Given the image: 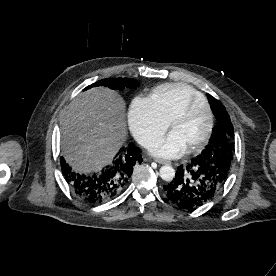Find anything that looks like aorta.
Returning <instances> with one entry per match:
<instances>
[{
	"mask_svg": "<svg viewBox=\"0 0 276 276\" xmlns=\"http://www.w3.org/2000/svg\"><path fill=\"white\" fill-rule=\"evenodd\" d=\"M160 177L164 181H172L175 177V170L172 166L164 165L160 168Z\"/></svg>",
	"mask_w": 276,
	"mask_h": 276,
	"instance_id": "aorta-1",
	"label": "aorta"
}]
</instances>
